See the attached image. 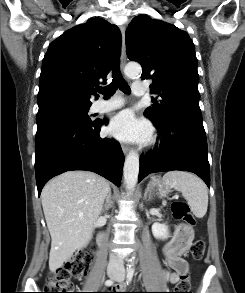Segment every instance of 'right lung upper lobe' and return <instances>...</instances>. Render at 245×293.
<instances>
[{
  "mask_svg": "<svg viewBox=\"0 0 245 293\" xmlns=\"http://www.w3.org/2000/svg\"><path fill=\"white\" fill-rule=\"evenodd\" d=\"M121 33L116 25L93 18L54 40L42 62L39 108L52 104L90 105L99 80L119 59Z\"/></svg>",
  "mask_w": 245,
  "mask_h": 293,
  "instance_id": "right-lung-upper-lobe-1",
  "label": "right lung upper lobe"
}]
</instances>
